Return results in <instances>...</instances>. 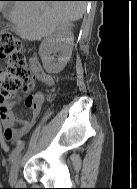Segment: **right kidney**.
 Returning <instances> with one entry per match:
<instances>
[{"mask_svg":"<svg viewBox=\"0 0 137 189\" xmlns=\"http://www.w3.org/2000/svg\"><path fill=\"white\" fill-rule=\"evenodd\" d=\"M74 36L68 26L61 27L42 41L39 47L43 67L48 73L63 70L72 55ZM59 53L56 58V54Z\"/></svg>","mask_w":137,"mask_h":189,"instance_id":"right-kidney-1","label":"right kidney"}]
</instances>
